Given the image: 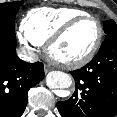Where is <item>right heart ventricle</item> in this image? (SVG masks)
<instances>
[{"label": "right heart ventricle", "instance_id": "e07e8e85", "mask_svg": "<svg viewBox=\"0 0 117 117\" xmlns=\"http://www.w3.org/2000/svg\"><path fill=\"white\" fill-rule=\"evenodd\" d=\"M87 15L77 8H37L28 13L23 21L26 38L35 45H43L65 23Z\"/></svg>", "mask_w": 117, "mask_h": 117}]
</instances>
